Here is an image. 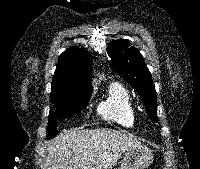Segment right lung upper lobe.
Wrapping results in <instances>:
<instances>
[{
  "label": "right lung upper lobe",
  "instance_id": "obj_1",
  "mask_svg": "<svg viewBox=\"0 0 200 169\" xmlns=\"http://www.w3.org/2000/svg\"><path fill=\"white\" fill-rule=\"evenodd\" d=\"M92 58L88 51L70 48L63 52L53 76L51 100L92 91Z\"/></svg>",
  "mask_w": 200,
  "mask_h": 169
}]
</instances>
